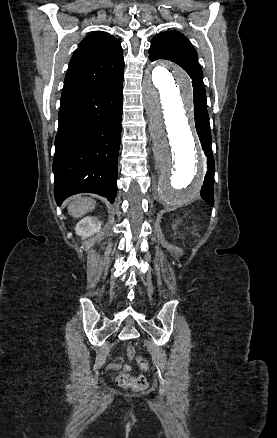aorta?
<instances>
[{"label": "aorta", "instance_id": "obj_1", "mask_svg": "<svg viewBox=\"0 0 277 438\" xmlns=\"http://www.w3.org/2000/svg\"><path fill=\"white\" fill-rule=\"evenodd\" d=\"M192 84L180 68L151 65L143 79V98L160 171L158 193L169 205L180 206L200 191L206 158L194 128Z\"/></svg>", "mask_w": 277, "mask_h": 438}]
</instances>
